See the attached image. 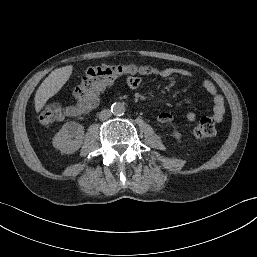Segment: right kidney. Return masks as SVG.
Wrapping results in <instances>:
<instances>
[{"instance_id": "ca27d5eb", "label": "right kidney", "mask_w": 257, "mask_h": 257, "mask_svg": "<svg viewBox=\"0 0 257 257\" xmlns=\"http://www.w3.org/2000/svg\"><path fill=\"white\" fill-rule=\"evenodd\" d=\"M84 127L76 122L65 123L53 138V146L61 152L71 154L77 151L83 142Z\"/></svg>"}]
</instances>
